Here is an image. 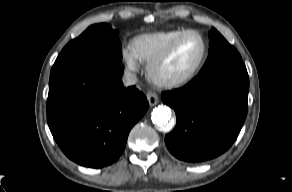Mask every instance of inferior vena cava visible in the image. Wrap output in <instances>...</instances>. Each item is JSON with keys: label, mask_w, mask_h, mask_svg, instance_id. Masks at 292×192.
I'll return each mask as SVG.
<instances>
[{"label": "inferior vena cava", "mask_w": 292, "mask_h": 192, "mask_svg": "<svg viewBox=\"0 0 292 192\" xmlns=\"http://www.w3.org/2000/svg\"><path fill=\"white\" fill-rule=\"evenodd\" d=\"M137 76L132 72H125L122 78L123 84L125 86L135 85L137 83Z\"/></svg>", "instance_id": "obj_1"}]
</instances>
